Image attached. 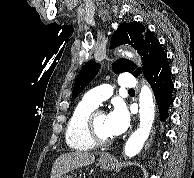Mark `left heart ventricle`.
I'll return each mask as SVG.
<instances>
[{"label":"left heart ventricle","instance_id":"obj_1","mask_svg":"<svg viewBox=\"0 0 194 178\" xmlns=\"http://www.w3.org/2000/svg\"><path fill=\"white\" fill-rule=\"evenodd\" d=\"M95 126L98 133L104 138H110L106 129V115L104 113L98 114L95 118Z\"/></svg>","mask_w":194,"mask_h":178}]
</instances>
